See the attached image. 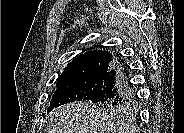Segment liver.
Instances as JSON below:
<instances>
[{
  "instance_id": "1",
  "label": "liver",
  "mask_w": 184,
  "mask_h": 133,
  "mask_svg": "<svg viewBox=\"0 0 184 133\" xmlns=\"http://www.w3.org/2000/svg\"><path fill=\"white\" fill-rule=\"evenodd\" d=\"M47 133H117L124 129L90 101H78L54 109Z\"/></svg>"
}]
</instances>
